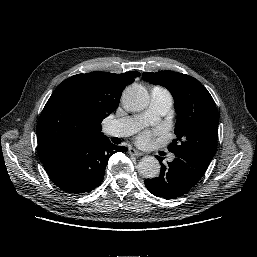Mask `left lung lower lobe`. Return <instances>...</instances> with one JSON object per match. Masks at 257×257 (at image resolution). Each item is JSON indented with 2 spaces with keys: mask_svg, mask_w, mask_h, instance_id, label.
I'll return each mask as SVG.
<instances>
[{
  "mask_svg": "<svg viewBox=\"0 0 257 257\" xmlns=\"http://www.w3.org/2000/svg\"><path fill=\"white\" fill-rule=\"evenodd\" d=\"M176 158L161 165L159 177L145 179L147 189L157 197L175 199L186 194L204 175L211 160L191 151L174 152ZM159 162L162 159L158 156Z\"/></svg>",
  "mask_w": 257,
  "mask_h": 257,
  "instance_id": "0a47b994",
  "label": "left lung lower lobe"
}]
</instances>
